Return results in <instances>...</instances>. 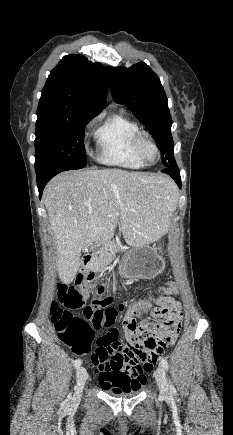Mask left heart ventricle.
Returning a JSON list of instances; mask_svg holds the SVG:
<instances>
[{"label":"left heart ventricle","instance_id":"b2bd125f","mask_svg":"<svg viewBox=\"0 0 233 435\" xmlns=\"http://www.w3.org/2000/svg\"><path fill=\"white\" fill-rule=\"evenodd\" d=\"M146 154H147L148 159L151 162H155L156 161L157 155H156L155 150L151 146H147L146 147Z\"/></svg>","mask_w":233,"mask_h":435}]
</instances>
